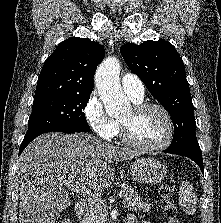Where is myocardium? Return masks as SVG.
<instances>
[{
    "label": "myocardium",
    "instance_id": "obj_1",
    "mask_svg": "<svg viewBox=\"0 0 221 223\" xmlns=\"http://www.w3.org/2000/svg\"><path fill=\"white\" fill-rule=\"evenodd\" d=\"M148 109H155L163 114L167 122V134L162 142L157 145H145L134 141L129 132V127L119 121L121 128V139L129 147L144 152H158L166 149L173 141L175 135V126L170 112L162 105L151 102L136 103L133 106L135 112H142Z\"/></svg>",
    "mask_w": 221,
    "mask_h": 223
}]
</instances>
